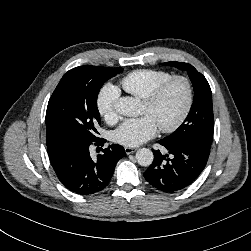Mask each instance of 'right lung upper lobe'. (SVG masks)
<instances>
[{
    "label": "right lung upper lobe",
    "instance_id": "obj_1",
    "mask_svg": "<svg viewBox=\"0 0 251 251\" xmlns=\"http://www.w3.org/2000/svg\"><path fill=\"white\" fill-rule=\"evenodd\" d=\"M57 141H47V150L50 151L55 145Z\"/></svg>",
    "mask_w": 251,
    "mask_h": 251
}]
</instances>
